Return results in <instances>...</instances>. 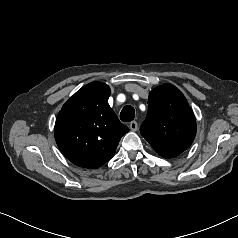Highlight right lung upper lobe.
<instances>
[{
  "label": "right lung upper lobe",
  "mask_w": 238,
  "mask_h": 238,
  "mask_svg": "<svg viewBox=\"0 0 238 238\" xmlns=\"http://www.w3.org/2000/svg\"><path fill=\"white\" fill-rule=\"evenodd\" d=\"M110 88L91 82L62 107L55 123V140L72 163L98 168L110 160L121 137L129 131L108 104Z\"/></svg>",
  "instance_id": "obj_1"
}]
</instances>
